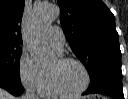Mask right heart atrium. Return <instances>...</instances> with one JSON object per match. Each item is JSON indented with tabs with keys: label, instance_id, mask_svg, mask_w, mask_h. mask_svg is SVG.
<instances>
[{
	"label": "right heart atrium",
	"instance_id": "right-heart-atrium-1",
	"mask_svg": "<svg viewBox=\"0 0 128 99\" xmlns=\"http://www.w3.org/2000/svg\"><path fill=\"white\" fill-rule=\"evenodd\" d=\"M19 78L24 88L40 92L46 82L47 73L38 65L31 54L24 52L19 60Z\"/></svg>",
	"mask_w": 128,
	"mask_h": 99
}]
</instances>
